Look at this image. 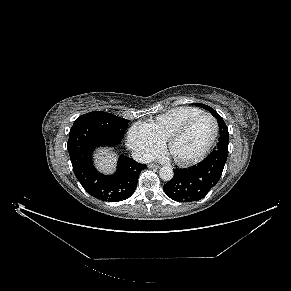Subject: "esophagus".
Returning a JSON list of instances; mask_svg holds the SVG:
<instances>
[{
	"instance_id": "1",
	"label": "esophagus",
	"mask_w": 291,
	"mask_h": 291,
	"mask_svg": "<svg viewBox=\"0 0 291 291\" xmlns=\"http://www.w3.org/2000/svg\"><path fill=\"white\" fill-rule=\"evenodd\" d=\"M148 167L151 169H158L160 166L152 163V164H149Z\"/></svg>"
}]
</instances>
